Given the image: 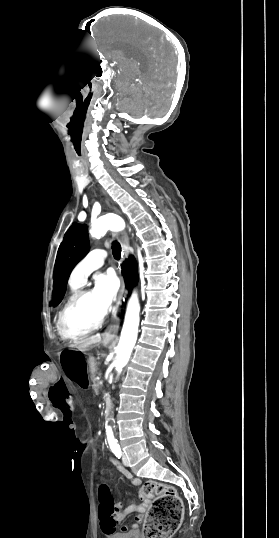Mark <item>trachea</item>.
<instances>
[{"instance_id": "3493384b", "label": "trachea", "mask_w": 279, "mask_h": 538, "mask_svg": "<svg viewBox=\"0 0 279 538\" xmlns=\"http://www.w3.org/2000/svg\"><path fill=\"white\" fill-rule=\"evenodd\" d=\"M111 248H112V254H113L114 258H116V260H119L120 256H121V246H120V244L117 241H114L112 243Z\"/></svg>"}]
</instances>
